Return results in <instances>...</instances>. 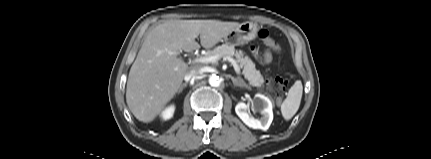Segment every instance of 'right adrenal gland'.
<instances>
[{
    "mask_svg": "<svg viewBox=\"0 0 431 159\" xmlns=\"http://www.w3.org/2000/svg\"><path fill=\"white\" fill-rule=\"evenodd\" d=\"M186 86H187V84H186V83L182 84V85H181V87H180V89H179V91H178V93L182 92V90H183Z\"/></svg>",
    "mask_w": 431,
    "mask_h": 159,
    "instance_id": "1",
    "label": "right adrenal gland"
}]
</instances>
